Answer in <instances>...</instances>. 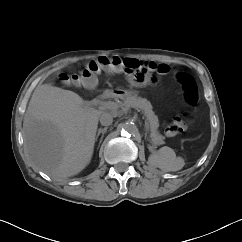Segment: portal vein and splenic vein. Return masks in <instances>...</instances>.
I'll return each mask as SVG.
<instances>
[{"label": "portal vein and splenic vein", "instance_id": "1", "mask_svg": "<svg viewBox=\"0 0 242 242\" xmlns=\"http://www.w3.org/2000/svg\"><path fill=\"white\" fill-rule=\"evenodd\" d=\"M103 105L105 107L111 109V110H114V111H116L118 109V107H119V105L117 103H115V102H106ZM145 127L148 128V124H147L146 121H145Z\"/></svg>", "mask_w": 242, "mask_h": 242}]
</instances>
